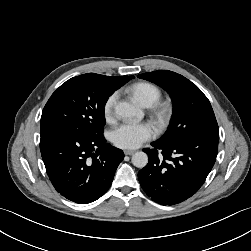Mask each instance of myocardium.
<instances>
[{"mask_svg": "<svg viewBox=\"0 0 251 251\" xmlns=\"http://www.w3.org/2000/svg\"><path fill=\"white\" fill-rule=\"evenodd\" d=\"M153 116L157 123L163 127L165 126L171 118L172 110L167 103H157L154 105L152 110Z\"/></svg>", "mask_w": 251, "mask_h": 251, "instance_id": "obj_1", "label": "myocardium"}]
</instances>
